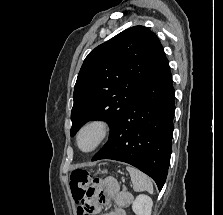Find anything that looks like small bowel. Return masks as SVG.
I'll return each mask as SVG.
<instances>
[{
	"label": "small bowel",
	"instance_id": "1",
	"mask_svg": "<svg viewBox=\"0 0 223 215\" xmlns=\"http://www.w3.org/2000/svg\"><path fill=\"white\" fill-rule=\"evenodd\" d=\"M133 197L127 191H121L113 178L96 179L86 189L84 203L92 207V212H98L100 204L114 205V209L101 215H126L125 209L132 203ZM79 215L80 212L78 211Z\"/></svg>",
	"mask_w": 223,
	"mask_h": 215
}]
</instances>
